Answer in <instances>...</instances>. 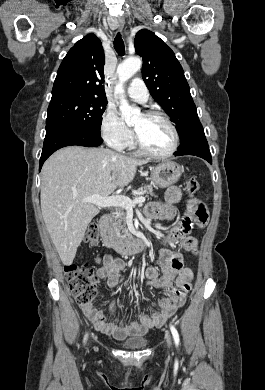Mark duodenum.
<instances>
[{"instance_id": "duodenum-1", "label": "duodenum", "mask_w": 265, "mask_h": 390, "mask_svg": "<svg viewBox=\"0 0 265 390\" xmlns=\"http://www.w3.org/2000/svg\"><path fill=\"white\" fill-rule=\"evenodd\" d=\"M99 227L101 231V237L103 245L107 248L114 249L121 254H126L128 252H138L143 246V239L136 237L130 241H125L124 239L118 237L112 231V215L105 214L101 217L99 221Z\"/></svg>"}]
</instances>
